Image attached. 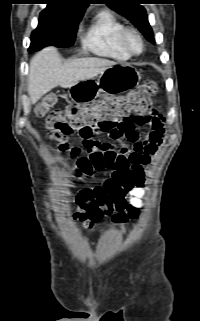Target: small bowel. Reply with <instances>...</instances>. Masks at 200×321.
Masks as SVG:
<instances>
[{"label":"small bowel","instance_id":"small-bowel-1","mask_svg":"<svg viewBox=\"0 0 200 321\" xmlns=\"http://www.w3.org/2000/svg\"><path fill=\"white\" fill-rule=\"evenodd\" d=\"M143 126H146L148 131L141 135L139 128ZM164 133V118L158 111L153 110L148 114L122 120L109 129L95 128L81 135L82 147L86 152L112 156L115 161H127L139 182L131 191L128 205L111 217L113 223L124 224L130 219L138 218L145 196V189L142 187L145 167L163 142ZM100 135H105L109 141L99 140ZM79 153L80 149L74 148L71 157H76Z\"/></svg>","mask_w":200,"mask_h":321}]
</instances>
